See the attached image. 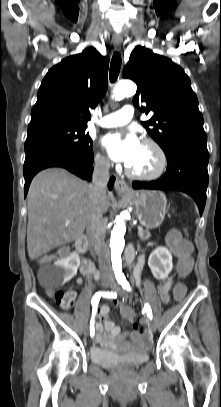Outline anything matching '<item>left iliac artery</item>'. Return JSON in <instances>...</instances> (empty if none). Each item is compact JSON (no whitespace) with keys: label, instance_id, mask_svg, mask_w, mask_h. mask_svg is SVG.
<instances>
[{"label":"left iliac artery","instance_id":"44dca946","mask_svg":"<svg viewBox=\"0 0 221 407\" xmlns=\"http://www.w3.org/2000/svg\"><path fill=\"white\" fill-rule=\"evenodd\" d=\"M120 283H121L123 289H125V290H127V291H129V292L132 291L131 286L129 285V282H128L125 278H123V279L120 281ZM144 310H145L147 316H148L150 319H152V310H151V307L149 306L148 303H145V305H144Z\"/></svg>","mask_w":221,"mask_h":407}]
</instances>
